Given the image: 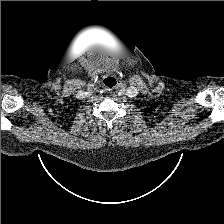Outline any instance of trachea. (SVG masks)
Here are the masks:
<instances>
[{
  "label": "trachea",
  "instance_id": "obj_1",
  "mask_svg": "<svg viewBox=\"0 0 224 224\" xmlns=\"http://www.w3.org/2000/svg\"><path fill=\"white\" fill-rule=\"evenodd\" d=\"M104 84H105L107 87L112 88L113 86H115V85L117 84V81H116L115 78L110 77V78L104 80Z\"/></svg>",
  "mask_w": 224,
  "mask_h": 224
}]
</instances>
